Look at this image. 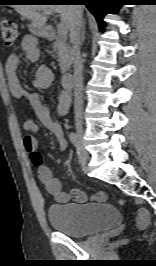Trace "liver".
Instances as JSON below:
<instances>
[{"instance_id":"obj_1","label":"liver","mask_w":156,"mask_h":266,"mask_svg":"<svg viewBox=\"0 0 156 266\" xmlns=\"http://www.w3.org/2000/svg\"><path fill=\"white\" fill-rule=\"evenodd\" d=\"M78 9L81 16L83 13V7L77 5H20L18 12L32 21V26L44 29L48 16L52 12L60 13L61 21L70 30L74 10ZM40 11H43L42 13Z\"/></svg>"}]
</instances>
